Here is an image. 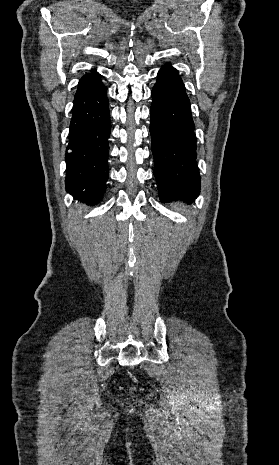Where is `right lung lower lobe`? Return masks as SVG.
I'll return each mask as SVG.
<instances>
[{"label": "right lung lower lobe", "mask_w": 279, "mask_h": 465, "mask_svg": "<svg viewBox=\"0 0 279 465\" xmlns=\"http://www.w3.org/2000/svg\"><path fill=\"white\" fill-rule=\"evenodd\" d=\"M72 109L66 149V189L74 198L98 203L109 177L110 114L107 88L100 77L79 87Z\"/></svg>", "instance_id": "obj_1"}]
</instances>
